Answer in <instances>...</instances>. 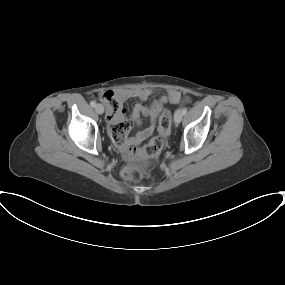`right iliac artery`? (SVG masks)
<instances>
[{
    "label": "right iliac artery",
    "mask_w": 285,
    "mask_h": 285,
    "mask_svg": "<svg viewBox=\"0 0 285 285\" xmlns=\"http://www.w3.org/2000/svg\"><path fill=\"white\" fill-rule=\"evenodd\" d=\"M90 105H91L92 107H95L96 102H95V101H91Z\"/></svg>",
    "instance_id": "obj_1"
}]
</instances>
